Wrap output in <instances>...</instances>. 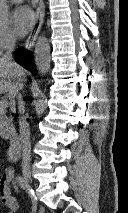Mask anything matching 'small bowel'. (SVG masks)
<instances>
[{
	"label": "small bowel",
	"mask_w": 128,
	"mask_h": 213,
	"mask_svg": "<svg viewBox=\"0 0 128 213\" xmlns=\"http://www.w3.org/2000/svg\"><path fill=\"white\" fill-rule=\"evenodd\" d=\"M12 184L16 189L15 184V170L11 166L3 169L0 175V199L2 203L8 208L7 213H16L19 207L18 200L11 194L9 185Z\"/></svg>",
	"instance_id": "small-bowel-1"
}]
</instances>
